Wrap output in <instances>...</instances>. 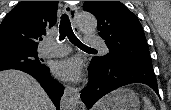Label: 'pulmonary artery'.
<instances>
[{
	"label": "pulmonary artery",
	"instance_id": "pulmonary-artery-1",
	"mask_svg": "<svg viewBox=\"0 0 171 110\" xmlns=\"http://www.w3.org/2000/svg\"><path fill=\"white\" fill-rule=\"evenodd\" d=\"M86 42L88 46L97 47L104 53L108 51L104 41L93 33L86 34ZM45 45L46 48L42 51L44 56L60 57L69 52L68 46L57 43L50 38L45 40Z\"/></svg>",
	"mask_w": 171,
	"mask_h": 110
}]
</instances>
